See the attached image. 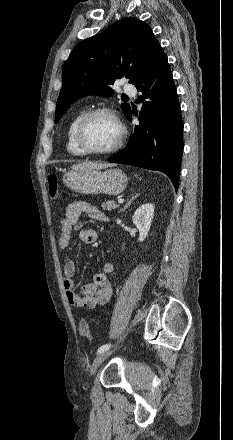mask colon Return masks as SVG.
<instances>
[{
    "instance_id": "colon-1",
    "label": "colon",
    "mask_w": 233,
    "mask_h": 440,
    "mask_svg": "<svg viewBox=\"0 0 233 440\" xmlns=\"http://www.w3.org/2000/svg\"><path fill=\"white\" fill-rule=\"evenodd\" d=\"M48 190H49V196L51 199L53 200H57L59 193H58V178L57 175L52 173L48 176ZM80 334L81 336L87 338V339H92V334H91V330H90V325L87 321L83 320L80 323Z\"/></svg>"
}]
</instances>
